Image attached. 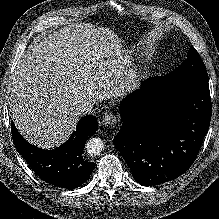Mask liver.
I'll return each instance as SVG.
<instances>
[{"instance_id":"obj_1","label":"liver","mask_w":219,"mask_h":219,"mask_svg":"<svg viewBox=\"0 0 219 219\" xmlns=\"http://www.w3.org/2000/svg\"><path fill=\"white\" fill-rule=\"evenodd\" d=\"M120 39L90 23L68 25L25 51L11 77V117L24 138L43 149L64 143L75 130L82 100L121 96L115 66L104 56L119 50Z\"/></svg>"}]
</instances>
